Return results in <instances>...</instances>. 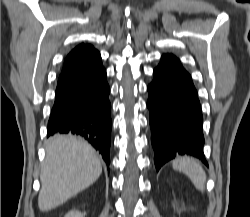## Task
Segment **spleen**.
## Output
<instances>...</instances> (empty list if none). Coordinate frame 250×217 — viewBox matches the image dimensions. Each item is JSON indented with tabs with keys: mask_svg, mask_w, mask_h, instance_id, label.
Returning a JSON list of instances; mask_svg holds the SVG:
<instances>
[{
	"mask_svg": "<svg viewBox=\"0 0 250 217\" xmlns=\"http://www.w3.org/2000/svg\"><path fill=\"white\" fill-rule=\"evenodd\" d=\"M172 167L174 170L185 173L198 190L202 192L204 191L206 174L203 168L194 158H177L172 162Z\"/></svg>",
	"mask_w": 250,
	"mask_h": 217,
	"instance_id": "obj_1",
	"label": "spleen"
}]
</instances>
